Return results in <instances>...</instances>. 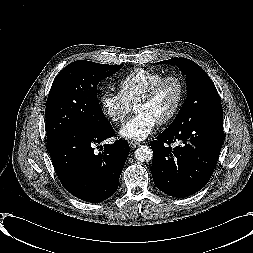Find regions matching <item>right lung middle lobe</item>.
<instances>
[{
	"mask_svg": "<svg viewBox=\"0 0 253 253\" xmlns=\"http://www.w3.org/2000/svg\"><path fill=\"white\" fill-rule=\"evenodd\" d=\"M122 67L78 60L60 71L46 103L48 147L76 128L109 123L97 99V85Z\"/></svg>",
	"mask_w": 253,
	"mask_h": 253,
	"instance_id": "right-lung-middle-lobe-1",
	"label": "right lung middle lobe"
}]
</instances>
